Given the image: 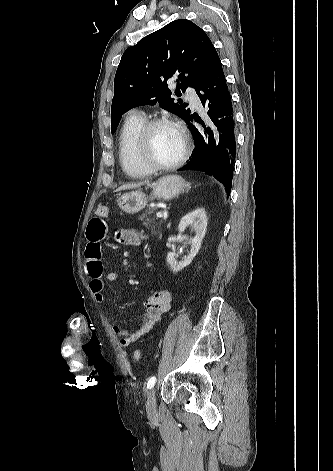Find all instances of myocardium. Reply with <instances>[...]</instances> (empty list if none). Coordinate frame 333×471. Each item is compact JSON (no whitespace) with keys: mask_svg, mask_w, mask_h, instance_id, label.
<instances>
[{"mask_svg":"<svg viewBox=\"0 0 333 471\" xmlns=\"http://www.w3.org/2000/svg\"><path fill=\"white\" fill-rule=\"evenodd\" d=\"M163 125L173 127L181 137L182 149L179 156L171 163L162 164L154 160L151 152V136L153 131ZM137 151L140 162L152 172L170 171L181 166L190 152V141L184 128L171 118L161 117L147 121L140 131L137 143Z\"/></svg>","mask_w":333,"mask_h":471,"instance_id":"1","label":"myocardium"}]
</instances>
